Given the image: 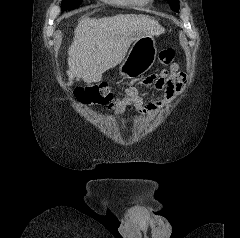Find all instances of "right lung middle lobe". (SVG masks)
Here are the masks:
<instances>
[{"mask_svg": "<svg viewBox=\"0 0 240 238\" xmlns=\"http://www.w3.org/2000/svg\"><path fill=\"white\" fill-rule=\"evenodd\" d=\"M82 0H63L62 10L73 9L81 4Z\"/></svg>", "mask_w": 240, "mask_h": 238, "instance_id": "obj_1", "label": "right lung middle lobe"}]
</instances>
